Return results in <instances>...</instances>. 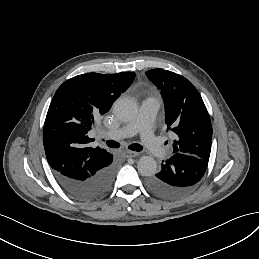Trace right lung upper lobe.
<instances>
[{
	"label": "right lung upper lobe",
	"instance_id": "cb5924a9",
	"mask_svg": "<svg viewBox=\"0 0 259 259\" xmlns=\"http://www.w3.org/2000/svg\"><path fill=\"white\" fill-rule=\"evenodd\" d=\"M134 72L88 73L65 81L49 106L43 130L44 150L51 168L69 177H87L111 158L91 147L94 118L108 112L135 78Z\"/></svg>",
	"mask_w": 259,
	"mask_h": 259
}]
</instances>
